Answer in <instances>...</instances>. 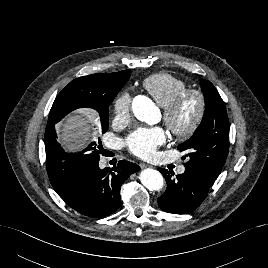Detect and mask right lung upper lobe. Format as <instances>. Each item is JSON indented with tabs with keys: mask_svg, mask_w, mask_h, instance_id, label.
Segmentation results:
<instances>
[{
	"mask_svg": "<svg viewBox=\"0 0 268 268\" xmlns=\"http://www.w3.org/2000/svg\"><path fill=\"white\" fill-rule=\"evenodd\" d=\"M129 76L128 69L116 73L91 74L71 81L55 99L63 102L64 109L59 115L48 120L46 133H53L54 125L75 109L82 107L98 109L109 106Z\"/></svg>",
	"mask_w": 268,
	"mask_h": 268,
	"instance_id": "1",
	"label": "right lung upper lobe"
}]
</instances>
